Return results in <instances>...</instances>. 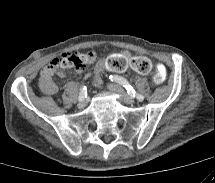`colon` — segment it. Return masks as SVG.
Returning a JSON list of instances; mask_svg holds the SVG:
<instances>
[{"mask_svg":"<svg viewBox=\"0 0 215 183\" xmlns=\"http://www.w3.org/2000/svg\"><path fill=\"white\" fill-rule=\"evenodd\" d=\"M119 53V52H117ZM91 61V56L87 52L66 53L56 58L53 63L54 69L75 68L77 70L84 68ZM153 82L161 84L168 81L170 72L167 65L158 63L152 69Z\"/></svg>","mask_w":215,"mask_h":183,"instance_id":"obj_1","label":"colon"}]
</instances>
